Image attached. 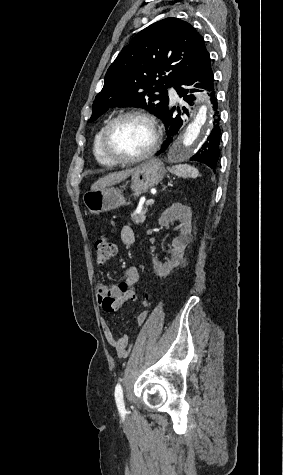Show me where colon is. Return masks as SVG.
<instances>
[{"mask_svg":"<svg viewBox=\"0 0 283 475\" xmlns=\"http://www.w3.org/2000/svg\"><path fill=\"white\" fill-rule=\"evenodd\" d=\"M94 251H95V260L98 264L106 263L112 256L116 254V245L114 242L107 236H99L94 241ZM118 291L122 292L123 289L127 290L124 292L125 296L117 295L113 297H105L103 299V307L106 309L108 314H115L117 309L123 308V303L128 300L133 299L135 294L134 288H129L126 281L121 280L118 283Z\"/></svg>","mask_w":283,"mask_h":475,"instance_id":"5ec220e1","label":"colon"}]
</instances>
